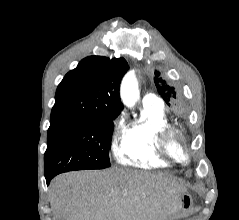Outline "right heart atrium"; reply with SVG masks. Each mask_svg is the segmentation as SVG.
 Segmentation results:
<instances>
[{
  "mask_svg": "<svg viewBox=\"0 0 239 220\" xmlns=\"http://www.w3.org/2000/svg\"><path fill=\"white\" fill-rule=\"evenodd\" d=\"M127 132V125L123 115H118L112 123V131L110 136V145L113 151H116L117 145L122 141Z\"/></svg>",
  "mask_w": 239,
  "mask_h": 220,
  "instance_id": "right-heart-atrium-1",
  "label": "right heart atrium"
}]
</instances>
